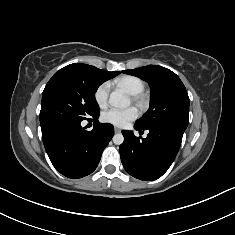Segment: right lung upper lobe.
I'll return each mask as SVG.
<instances>
[{"instance_id":"right-lung-upper-lobe-1","label":"right lung upper lobe","mask_w":235,"mask_h":235,"mask_svg":"<svg viewBox=\"0 0 235 235\" xmlns=\"http://www.w3.org/2000/svg\"><path fill=\"white\" fill-rule=\"evenodd\" d=\"M62 69L76 72L85 76L93 77L103 82L110 78L117 76L120 73L118 71H114V72L104 71L94 66L82 64V63H73Z\"/></svg>"}]
</instances>
